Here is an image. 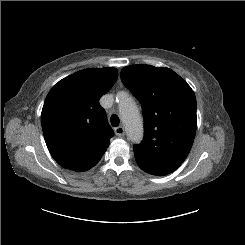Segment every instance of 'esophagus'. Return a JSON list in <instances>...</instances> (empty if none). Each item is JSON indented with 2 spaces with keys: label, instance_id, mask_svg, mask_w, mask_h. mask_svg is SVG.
Wrapping results in <instances>:
<instances>
[{
  "label": "esophagus",
  "instance_id": "1",
  "mask_svg": "<svg viewBox=\"0 0 245 245\" xmlns=\"http://www.w3.org/2000/svg\"><path fill=\"white\" fill-rule=\"evenodd\" d=\"M115 134L118 136H123L124 135V128L122 126L116 127L115 128Z\"/></svg>",
  "mask_w": 245,
  "mask_h": 245
}]
</instances>
